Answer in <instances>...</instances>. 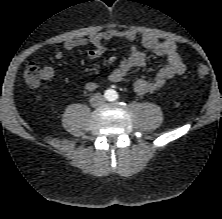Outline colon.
Returning a JSON list of instances; mask_svg holds the SVG:
<instances>
[{
	"mask_svg": "<svg viewBox=\"0 0 222 219\" xmlns=\"http://www.w3.org/2000/svg\"><path fill=\"white\" fill-rule=\"evenodd\" d=\"M196 75L199 78H205L209 75V68L205 64H199L196 67ZM45 77L44 69L34 62L27 64L24 71V79L26 83L31 87L39 85L42 79Z\"/></svg>",
	"mask_w": 222,
	"mask_h": 219,
	"instance_id": "1",
	"label": "colon"
}]
</instances>
